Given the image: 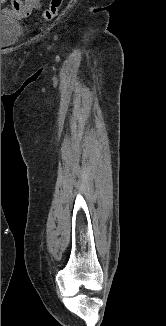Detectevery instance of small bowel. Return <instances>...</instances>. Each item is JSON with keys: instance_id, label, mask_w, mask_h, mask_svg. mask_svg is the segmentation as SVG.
I'll return each instance as SVG.
<instances>
[{"instance_id": "small-bowel-1", "label": "small bowel", "mask_w": 166, "mask_h": 326, "mask_svg": "<svg viewBox=\"0 0 166 326\" xmlns=\"http://www.w3.org/2000/svg\"><path fill=\"white\" fill-rule=\"evenodd\" d=\"M8 0H1V4ZM11 6L4 10L15 19L28 17L32 12L41 8L40 0H10Z\"/></svg>"}]
</instances>
